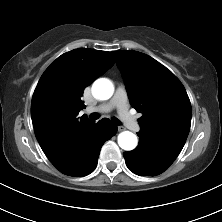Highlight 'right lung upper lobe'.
<instances>
[{
    "mask_svg": "<svg viewBox=\"0 0 222 222\" xmlns=\"http://www.w3.org/2000/svg\"><path fill=\"white\" fill-rule=\"evenodd\" d=\"M114 65L107 51L79 48L62 54L43 73L34 91L31 117L36 138L56 168L70 165L82 147L90 121L83 90Z\"/></svg>",
    "mask_w": 222,
    "mask_h": 222,
    "instance_id": "1",
    "label": "right lung upper lobe"
}]
</instances>
